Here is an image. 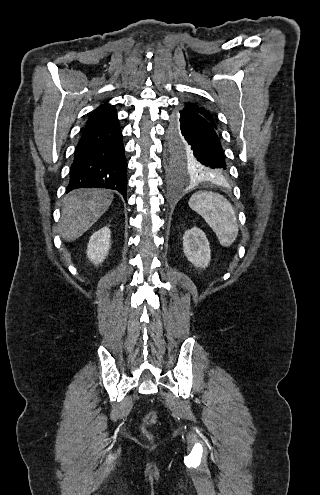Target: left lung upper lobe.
Listing matches in <instances>:
<instances>
[{"mask_svg":"<svg viewBox=\"0 0 320 495\" xmlns=\"http://www.w3.org/2000/svg\"><path fill=\"white\" fill-rule=\"evenodd\" d=\"M188 110L199 117H205L214 125L213 114L201 103L185 100L181 103L180 110ZM174 123L169 132L168 145V171L172 176L188 173L191 177L211 178L210 171L205 167L199 157V150L183 136L179 127L177 113L174 114Z\"/></svg>","mask_w":320,"mask_h":495,"instance_id":"obj_1","label":"left lung upper lobe"}]
</instances>
